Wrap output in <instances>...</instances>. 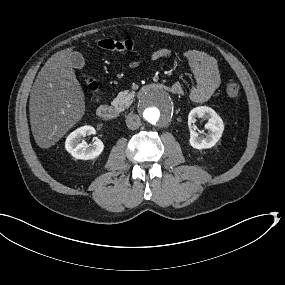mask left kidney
<instances>
[{
	"mask_svg": "<svg viewBox=\"0 0 285 285\" xmlns=\"http://www.w3.org/2000/svg\"><path fill=\"white\" fill-rule=\"evenodd\" d=\"M197 118L207 119L205 129L208 133L199 136L198 133L191 129L192 123H195ZM188 125L190 128V145L196 149H207L213 147L222 136L224 124L220 116L210 107L199 106L192 109L188 115Z\"/></svg>",
	"mask_w": 285,
	"mask_h": 285,
	"instance_id": "left-kidney-1",
	"label": "left kidney"
}]
</instances>
